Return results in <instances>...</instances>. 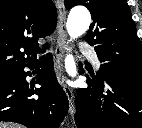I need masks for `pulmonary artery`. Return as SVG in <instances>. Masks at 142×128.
<instances>
[{
  "instance_id": "1",
  "label": "pulmonary artery",
  "mask_w": 142,
  "mask_h": 128,
  "mask_svg": "<svg viewBox=\"0 0 142 128\" xmlns=\"http://www.w3.org/2000/svg\"><path fill=\"white\" fill-rule=\"evenodd\" d=\"M80 51L83 55L90 57L97 68L100 67V61L97 57V54L90 45L86 43L82 44L80 47Z\"/></svg>"
}]
</instances>
